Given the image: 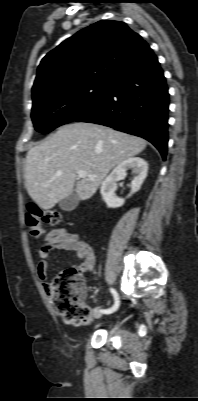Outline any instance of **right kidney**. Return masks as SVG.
Wrapping results in <instances>:
<instances>
[{
	"mask_svg": "<svg viewBox=\"0 0 198 401\" xmlns=\"http://www.w3.org/2000/svg\"><path fill=\"white\" fill-rule=\"evenodd\" d=\"M128 169H131L132 173L135 174L131 182V191L128 194V197H130L141 188L147 176L148 164L140 157H132L124 160L115 167L101 185L100 192L107 207L118 208L124 204L125 200L118 198L115 195V190L117 188L116 182L125 178Z\"/></svg>",
	"mask_w": 198,
	"mask_h": 401,
	"instance_id": "1",
	"label": "right kidney"
}]
</instances>
